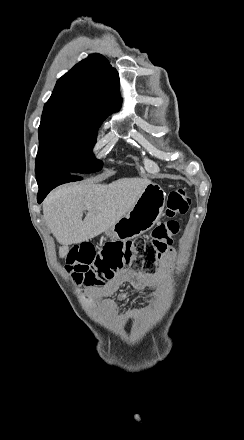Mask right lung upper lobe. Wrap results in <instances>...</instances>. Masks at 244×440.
I'll return each mask as SVG.
<instances>
[{
    "label": "right lung upper lobe",
    "mask_w": 244,
    "mask_h": 440,
    "mask_svg": "<svg viewBox=\"0 0 244 440\" xmlns=\"http://www.w3.org/2000/svg\"><path fill=\"white\" fill-rule=\"evenodd\" d=\"M119 85L116 69L105 57L95 53L57 81L46 104H76L112 113L120 107Z\"/></svg>",
    "instance_id": "cb5924a9"
}]
</instances>
